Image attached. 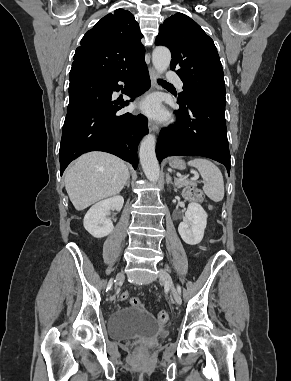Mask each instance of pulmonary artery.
I'll return each mask as SVG.
<instances>
[{
  "label": "pulmonary artery",
  "instance_id": "pulmonary-artery-1",
  "mask_svg": "<svg viewBox=\"0 0 291 381\" xmlns=\"http://www.w3.org/2000/svg\"><path fill=\"white\" fill-rule=\"evenodd\" d=\"M167 79L171 82L176 83L180 89L183 87V82L182 80L176 75L174 71H169L167 74Z\"/></svg>",
  "mask_w": 291,
  "mask_h": 381
}]
</instances>
